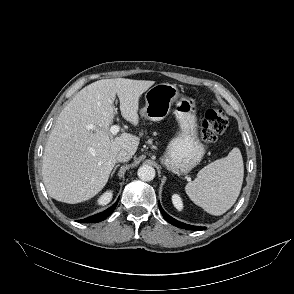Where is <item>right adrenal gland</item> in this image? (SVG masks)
Listing matches in <instances>:
<instances>
[{
    "label": "right adrenal gland",
    "instance_id": "1",
    "mask_svg": "<svg viewBox=\"0 0 294 294\" xmlns=\"http://www.w3.org/2000/svg\"><path fill=\"white\" fill-rule=\"evenodd\" d=\"M119 166H120V165L117 164V165L114 167V169H113V171H112V173H111V177L114 175L115 171L117 170V168H118Z\"/></svg>",
    "mask_w": 294,
    "mask_h": 294
}]
</instances>
